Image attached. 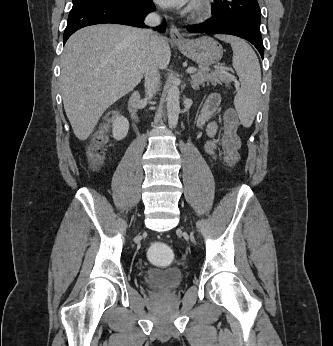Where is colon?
Wrapping results in <instances>:
<instances>
[{
    "label": "colon",
    "mask_w": 333,
    "mask_h": 346,
    "mask_svg": "<svg viewBox=\"0 0 333 346\" xmlns=\"http://www.w3.org/2000/svg\"><path fill=\"white\" fill-rule=\"evenodd\" d=\"M116 112L109 114V119H114ZM224 133L222 136L223 161L229 166H235L239 161L240 141L237 135L238 117L234 110L226 112L224 117ZM108 142V135L104 130L98 131L91 144L87 147V157L90 163L97 166L102 163L105 153L104 146ZM148 253L146 259L152 261L153 268H169L175 255L172 253L169 244H162L160 240H155L153 244L147 245Z\"/></svg>",
    "instance_id": "5ec220e1"
}]
</instances>
